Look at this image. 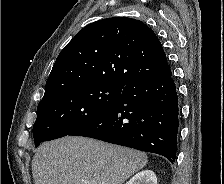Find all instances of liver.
<instances>
[{"label": "liver", "mask_w": 224, "mask_h": 184, "mask_svg": "<svg viewBox=\"0 0 224 184\" xmlns=\"http://www.w3.org/2000/svg\"><path fill=\"white\" fill-rule=\"evenodd\" d=\"M145 153L85 137L40 145L32 160L35 184H123L146 166Z\"/></svg>", "instance_id": "obj_1"}]
</instances>
